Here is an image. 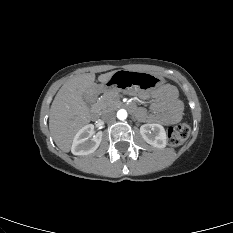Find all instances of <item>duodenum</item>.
<instances>
[{
	"label": "duodenum",
	"instance_id": "1",
	"mask_svg": "<svg viewBox=\"0 0 233 233\" xmlns=\"http://www.w3.org/2000/svg\"><path fill=\"white\" fill-rule=\"evenodd\" d=\"M97 97V93L93 94V98ZM91 117L92 119H97L99 117V107L97 104H94L92 109H91Z\"/></svg>",
	"mask_w": 233,
	"mask_h": 233
}]
</instances>
